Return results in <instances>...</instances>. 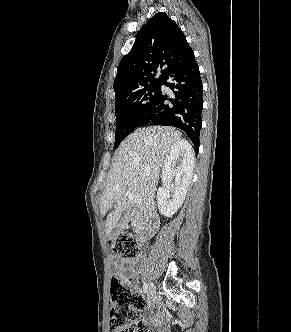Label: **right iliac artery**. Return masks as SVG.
Masks as SVG:
<instances>
[{
  "mask_svg": "<svg viewBox=\"0 0 291 332\" xmlns=\"http://www.w3.org/2000/svg\"><path fill=\"white\" fill-rule=\"evenodd\" d=\"M148 284L147 283H144L143 284V291H144V293H147L148 292Z\"/></svg>",
  "mask_w": 291,
  "mask_h": 332,
  "instance_id": "82829eb1",
  "label": "right iliac artery"
}]
</instances>
